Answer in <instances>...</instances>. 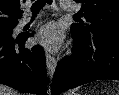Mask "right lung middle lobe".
Segmentation results:
<instances>
[{
  "label": "right lung middle lobe",
  "mask_w": 119,
  "mask_h": 95,
  "mask_svg": "<svg viewBox=\"0 0 119 95\" xmlns=\"http://www.w3.org/2000/svg\"><path fill=\"white\" fill-rule=\"evenodd\" d=\"M15 26L0 27V37L12 36Z\"/></svg>",
  "instance_id": "obj_1"
}]
</instances>
